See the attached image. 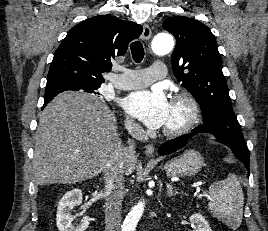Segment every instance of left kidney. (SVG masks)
I'll list each match as a JSON object with an SVG mask.
<instances>
[{"mask_svg":"<svg viewBox=\"0 0 268 231\" xmlns=\"http://www.w3.org/2000/svg\"><path fill=\"white\" fill-rule=\"evenodd\" d=\"M189 219L191 227L194 229L193 231H212L209 223L201 214H193Z\"/></svg>","mask_w":268,"mask_h":231,"instance_id":"obj_1","label":"left kidney"}]
</instances>
